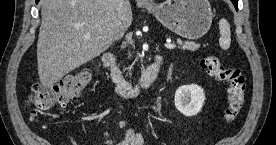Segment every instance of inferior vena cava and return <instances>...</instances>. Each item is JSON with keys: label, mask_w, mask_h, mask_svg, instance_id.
<instances>
[{"label": "inferior vena cava", "mask_w": 276, "mask_h": 145, "mask_svg": "<svg viewBox=\"0 0 276 145\" xmlns=\"http://www.w3.org/2000/svg\"><path fill=\"white\" fill-rule=\"evenodd\" d=\"M119 9H121L124 5L129 4V0H117Z\"/></svg>", "instance_id": "602c4592"}]
</instances>
